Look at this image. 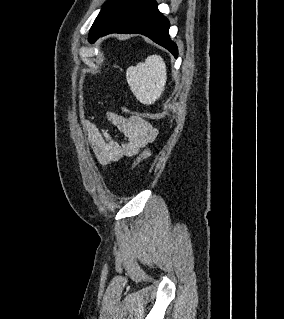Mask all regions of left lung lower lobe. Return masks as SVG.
I'll return each mask as SVG.
<instances>
[{
    "label": "left lung lower lobe",
    "instance_id": "0a47b994",
    "mask_svg": "<svg viewBox=\"0 0 284 319\" xmlns=\"http://www.w3.org/2000/svg\"><path fill=\"white\" fill-rule=\"evenodd\" d=\"M169 26L167 18L157 9L155 0H124L93 42L110 33L143 34L168 49L177 58L178 50L176 44L170 40Z\"/></svg>",
    "mask_w": 284,
    "mask_h": 319
}]
</instances>
